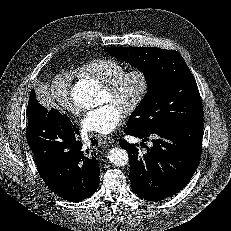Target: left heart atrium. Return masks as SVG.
<instances>
[{
  "label": "left heart atrium",
  "mask_w": 231,
  "mask_h": 231,
  "mask_svg": "<svg viewBox=\"0 0 231 231\" xmlns=\"http://www.w3.org/2000/svg\"><path fill=\"white\" fill-rule=\"evenodd\" d=\"M123 117V110L115 103L108 101L88 111L81 120V127L85 132L106 135L121 124Z\"/></svg>",
  "instance_id": "1"
}]
</instances>
